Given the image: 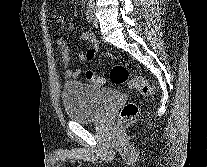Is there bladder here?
Returning a JSON list of instances; mask_svg holds the SVG:
<instances>
[{
    "label": "bladder",
    "instance_id": "bladder-1",
    "mask_svg": "<svg viewBox=\"0 0 207 167\" xmlns=\"http://www.w3.org/2000/svg\"><path fill=\"white\" fill-rule=\"evenodd\" d=\"M119 97L114 89L101 88L88 83L70 80L62 89V102L68 117L79 123L99 120Z\"/></svg>",
    "mask_w": 207,
    "mask_h": 167
}]
</instances>
